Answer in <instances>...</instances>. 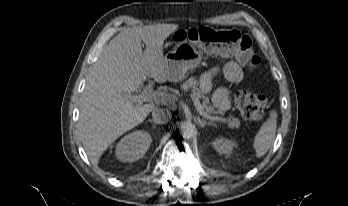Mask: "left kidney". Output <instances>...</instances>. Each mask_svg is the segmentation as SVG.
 <instances>
[{"label":"left kidney","mask_w":348,"mask_h":206,"mask_svg":"<svg viewBox=\"0 0 348 206\" xmlns=\"http://www.w3.org/2000/svg\"><path fill=\"white\" fill-rule=\"evenodd\" d=\"M212 144L214 149L219 154H225V155L230 154L233 148L237 147V143L235 141L228 140L225 138H218Z\"/></svg>","instance_id":"5707ae66"}]
</instances>
